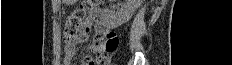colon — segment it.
<instances>
[{"mask_svg": "<svg viewBox=\"0 0 232 65\" xmlns=\"http://www.w3.org/2000/svg\"><path fill=\"white\" fill-rule=\"evenodd\" d=\"M99 3L97 0H84L81 1L79 6L74 9L68 16L64 26V37L66 41L70 42L80 32L87 15ZM119 45V38L113 32H107L101 37H97L92 45L95 53L94 58H89L91 62H102L105 64L108 55L115 51Z\"/></svg>", "mask_w": 232, "mask_h": 65, "instance_id": "obj_1", "label": "colon"}]
</instances>
